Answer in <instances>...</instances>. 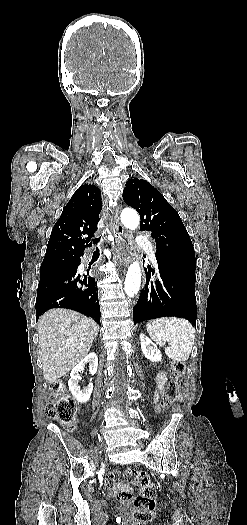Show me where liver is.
<instances>
[{"mask_svg": "<svg viewBox=\"0 0 247 525\" xmlns=\"http://www.w3.org/2000/svg\"><path fill=\"white\" fill-rule=\"evenodd\" d=\"M39 355L47 383H56L87 357L99 327L69 309H50L38 319Z\"/></svg>", "mask_w": 247, "mask_h": 525, "instance_id": "liver-1", "label": "liver"}]
</instances>
